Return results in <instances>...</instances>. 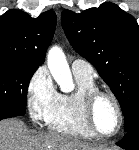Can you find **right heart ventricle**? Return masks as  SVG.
Here are the masks:
<instances>
[{"label": "right heart ventricle", "mask_w": 139, "mask_h": 150, "mask_svg": "<svg viewBox=\"0 0 139 150\" xmlns=\"http://www.w3.org/2000/svg\"><path fill=\"white\" fill-rule=\"evenodd\" d=\"M77 89L72 93H57L45 115V123L52 131L92 139L96 136L88 129L82 114L84 94L97 88L93 79L75 76Z\"/></svg>", "instance_id": "right-heart-ventricle-1"}]
</instances>
